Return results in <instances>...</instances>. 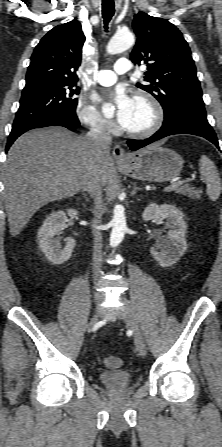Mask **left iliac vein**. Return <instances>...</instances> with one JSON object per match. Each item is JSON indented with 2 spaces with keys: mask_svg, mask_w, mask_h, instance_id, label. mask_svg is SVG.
Listing matches in <instances>:
<instances>
[{
  "mask_svg": "<svg viewBox=\"0 0 222 447\" xmlns=\"http://www.w3.org/2000/svg\"><path fill=\"white\" fill-rule=\"evenodd\" d=\"M122 301L124 303L122 313L124 322L130 327V329L133 332L134 343L138 354L141 357H145L147 354V348L142 333L140 331L138 320L134 313L133 307L129 304L127 300L123 299Z\"/></svg>",
  "mask_w": 222,
  "mask_h": 447,
  "instance_id": "4c4485c4",
  "label": "left iliac vein"
}]
</instances>
